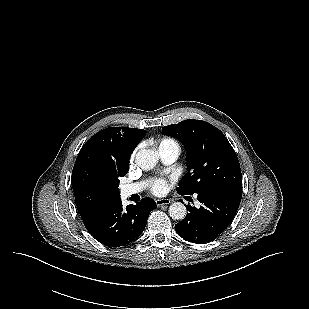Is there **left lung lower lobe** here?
<instances>
[{
	"instance_id": "0a47b994",
	"label": "left lung lower lobe",
	"mask_w": 309,
	"mask_h": 309,
	"mask_svg": "<svg viewBox=\"0 0 309 309\" xmlns=\"http://www.w3.org/2000/svg\"><path fill=\"white\" fill-rule=\"evenodd\" d=\"M197 195L202 206L197 209L188 205L189 213L175 225V230L186 241L207 243L229 226L240 205L242 192L224 190Z\"/></svg>"
}]
</instances>
